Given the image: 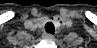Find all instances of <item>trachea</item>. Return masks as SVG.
Wrapping results in <instances>:
<instances>
[{
  "mask_svg": "<svg viewBox=\"0 0 97 48\" xmlns=\"http://www.w3.org/2000/svg\"><path fill=\"white\" fill-rule=\"evenodd\" d=\"M45 31L47 33H50V34H54L55 33V27H54V25L51 22L46 23V25H45Z\"/></svg>",
  "mask_w": 97,
  "mask_h": 48,
  "instance_id": "3493384b",
  "label": "trachea"
}]
</instances>
